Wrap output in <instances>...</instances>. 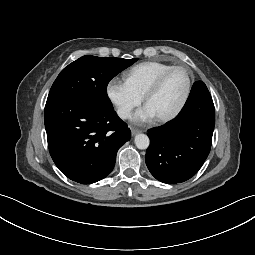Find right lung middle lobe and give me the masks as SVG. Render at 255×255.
Segmentation results:
<instances>
[{"label":"right lung middle lobe","instance_id":"right-lung-middle-lobe-1","mask_svg":"<svg viewBox=\"0 0 255 255\" xmlns=\"http://www.w3.org/2000/svg\"><path fill=\"white\" fill-rule=\"evenodd\" d=\"M138 58L83 56L66 66L54 81L49 95L76 96L96 106L113 110L107 96V85L118 73L135 63Z\"/></svg>","mask_w":255,"mask_h":255}]
</instances>
